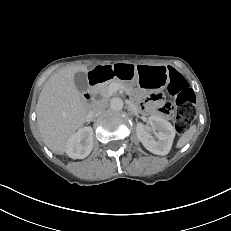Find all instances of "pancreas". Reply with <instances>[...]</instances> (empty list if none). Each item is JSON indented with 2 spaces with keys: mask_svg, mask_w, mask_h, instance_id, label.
<instances>
[{
  "mask_svg": "<svg viewBox=\"0 0 231 231\" xmlns=\"http://www.w3.org/2000/svg\"><path fill=\"white\" fill-rule=\"evenodd\" d=\"M113 84H116L120 88H123L128 95H131L133 92V88L131 86L119 79H114L99 86L98 90L103 97H109L110 95H112L113 92L111 91V86Z\"/></svg>",
  "mask_w": 231,
  "mask_h": 231,
  "instance_id": "pancreas-1",
  "label": "pancreas"
}]
</instances>
